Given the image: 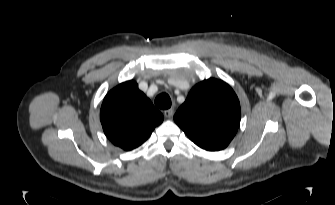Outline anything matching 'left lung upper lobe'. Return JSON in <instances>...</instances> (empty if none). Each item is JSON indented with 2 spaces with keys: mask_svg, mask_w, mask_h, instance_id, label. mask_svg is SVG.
<instances>
[{
  "mask_svg": "<svg viewBox=\"0 0 335 205\" xmlns=\"http://www.w3.org/2000/svg\"><path fill=\"white\" fill-rule=\"evenodd\" d=\"M241 118L240 103L225 82L210 78L195 85L174 115V121L199 147L208 151L226 148Z\"/></svg>",
  "mask_w": 335,
  "mask_h": 205,
  "instance_id": "1",
  "label": "left lung upper lobe"
}]
</instances>
